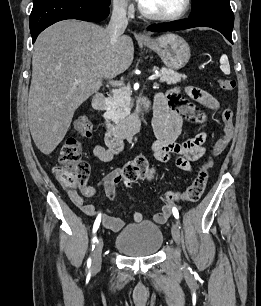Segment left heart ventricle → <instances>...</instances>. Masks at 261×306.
<instances>
[{
	"label": "left heart ventricle",
	"mask_w": 261,
	"mask_h": 306,
	"mask_svg": "<svg viewBox=\"0 0 261 306\" xmlns=\"http://www.w3.org/2000/svg\"><path fill=\"white\" fill-rule=\"evenodd\" d=\"M140 3L150 12L169 15L178 12L184 0H141Z\"/></svg>",
	"instance_id": "obj_1"
}]
</instances>
